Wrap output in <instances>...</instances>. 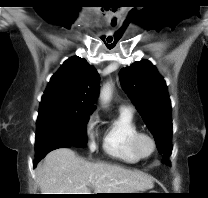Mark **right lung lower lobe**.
I'll return each instance as SVG.
<instances>
[{
	"label": "right lung lower lobe",
	"instance_id": "right-lung-lower-lobe-1",
	"mask_svg": "<svg viewBox=\"0 0 208 198\" xmlns=\"http://www.w3.org/2000/svg\"><path fill=\"white\" fill-rule=\"evenodd\" d=\"M70 147V145H67V144H58V145H55L54 147L50 148L48 150L47 153H49L50 151L54 150V149H58V148H68ZM43 157H36V160L34 161V165L37 164L38 161H40Z\"/></svg>",
	"mask_w": 208,
	"mask_h": 198
}]
</instances>
